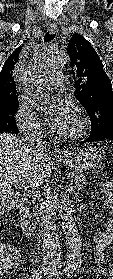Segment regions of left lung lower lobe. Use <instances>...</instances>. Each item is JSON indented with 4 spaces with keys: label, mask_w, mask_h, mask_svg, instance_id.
<instances>
[{
    "label": "left lung lower lobe",
    "mask_w": 113,
    "mask_h": 279,
    "mask_svg": "<svg viewBox=\"0 0 113 279\" xmlns=\"http://www.w3.org/2000/svg\"><path fill=\"white\" fill-rule=\"evenodd\" d=\"M100 140H113V126L111 125L105 131L96 134H90V137L82 143H86L89 141H100Z\"/></svg>",
    "instance_id": "1"
}]
</instances>
